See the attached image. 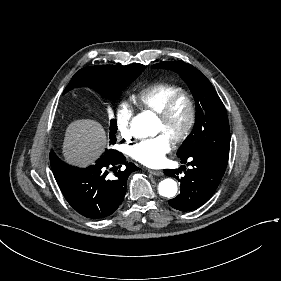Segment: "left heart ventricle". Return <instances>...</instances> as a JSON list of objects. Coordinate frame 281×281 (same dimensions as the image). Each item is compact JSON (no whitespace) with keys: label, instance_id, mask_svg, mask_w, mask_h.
<instances>
[{"label":"left heart ventricle","instance_id":"b2bd125f","mask_svg":"<svg viewBox=\"0 0 281 281\" xmlns=\"http://www.w3.org/2000/svg\"><path fill=\"white\" fill-rule=\"evenodd\" d=\"M187 115L188 111L185 102H178L165 123L155 117V134L161 133L168 137L170 134L178 133L184 127Z\"/></svg>","mask_w":281,"mask_h":281}]
</instances>
